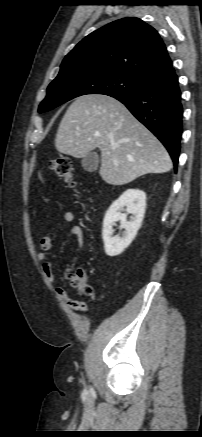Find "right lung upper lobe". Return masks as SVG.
<instances>
[{
    "label": "right lung upper lobe",
    "instance_id": "right-lung-upper-lobe-1",
    "mask_svg": "<svg viewBox=\"0 0 202 437\" xmlns=\"http://www.w3.org/2000/svg\"><path fill=\"white\" fill-rule=\"evenodd\" d=\"M171 65L158 32L139 18L127 17L86 36L64 58L58 76L72 70L110 71L146 81Z\"/></svg>",
    "mask_w": 202,
    "mask_h": 437
}]
</instances>
